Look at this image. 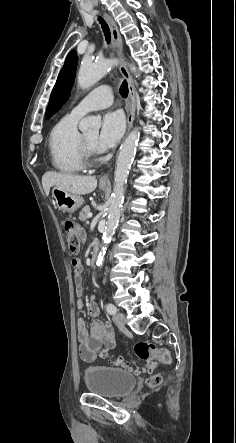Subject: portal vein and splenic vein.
<instances>
[{
	"label": "portal vein and splenic vein",
	"instance_id": "1",
	"mask_svg": "<svg viewBox=\"0 0 236 443\" xmlns=\"http://www.w3.org/2000/svg\"><path fill=\"white\" fill-rule=\"evenodd\" d=\"M91 217H92V213H89V214H88V218H91Z\"/></svg>",
	"mask_w": 236,
	"mask_h": 443
}]
</instances>
